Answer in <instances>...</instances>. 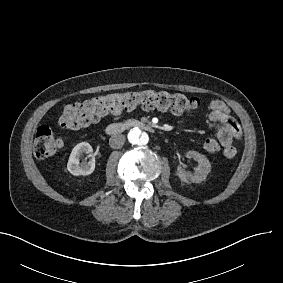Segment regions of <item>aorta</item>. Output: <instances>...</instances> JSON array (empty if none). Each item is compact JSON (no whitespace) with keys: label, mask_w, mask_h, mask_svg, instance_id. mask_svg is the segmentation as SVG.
<instances>
[{"label":"aorta","mask_w":283,"mask_h":283,"mask_svg":"<svg viewBox=\"0 0 283 283\" xmlns=\"http://www.w3.org/2000/svg\"><path fill=\"white\" fill-rule=\"evenodd\" d=\"M128 141L132 145L145 146L149 142V135L138 127L132 128L128 133Z\"/></svg>","instance_id":"obj_1"}]
</instances>
